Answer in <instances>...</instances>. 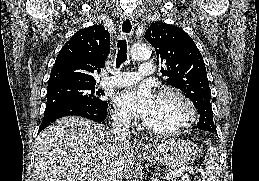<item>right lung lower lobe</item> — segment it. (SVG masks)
I'll list each match as a JSON object with an SVG mask.
<instances>
[{
    "label": "right lung lower lobe",
    "mask_w": 259,
    "mask_h": 181,
    "mask_svg": "<svg viewBox=\"0 0 259 181\" xmlns=\"http://www.w3.org/2000/svg\"><path fill=\"white\" fill-rule=\"evenodd\" d=\"M107 104L101 107H93L84 104H64L44 113L43 121L39 127L38 134L64 116H82L93 121L102 122L107 117Z\"/></svg>",
    "instance_id": "98d812e1"
}]
</instances>
